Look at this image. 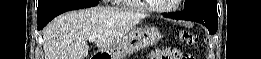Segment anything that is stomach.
Instances as JSON below:
<instances>
[{"instance_id":"1","label":"stomach","mask_w":261,"mask_h":59,"mask_svg":"<svg viewBox=\"0 0 261 59\" xmlns=\"http://www.w3.org/2000/svg\"><path fill=\"white\" fill-rule=\"evenodd\" d=\"M162 38L160 30L155 26L133 28L117 44L115 51L103 54L104 58L124 59L125 57L157 43Z\"/></svg>"}]
</instances>
